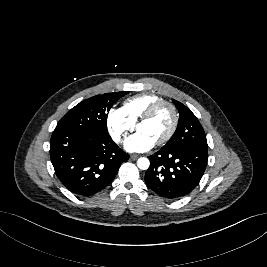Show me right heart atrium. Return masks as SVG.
<instances>
[{
    "label": "right heart atrium",
    "instance_id": "d8ad5b80",
    "mask_svg": "<svg viewBox=\"0 0 267 267\" xmlns=\"http://www.w3.org/2000/svg\"><path fill=\"white\" fill-rule=\"evenodd\" d=\"M106 126L111 137L121 143L133 131V123L122 108H111L106 116Z\"/></svg>",
    "mask_w": 267,
    "mask_h": 267
}]
</instances>
